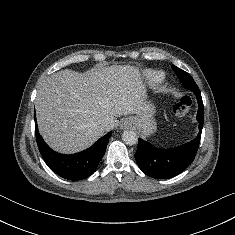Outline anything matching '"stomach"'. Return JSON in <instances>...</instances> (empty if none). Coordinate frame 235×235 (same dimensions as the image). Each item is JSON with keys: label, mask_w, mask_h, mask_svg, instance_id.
<instances>
[{"label": "stomach", "mask_w": 235, "mask_h": 235, "mask_svg": "<svg viewBox=\"0 0 235 235\" xmlns=\"http://www.w3.org/2000/svg\"><path fill=\"white\" fill-rule=\"evenodd\" d=\"M155 106L150 102H145L141 112L136 116H131L128 119L132 120L133 125L144 135L150 136L157 129L155 121Z\"/></svg>", "instance_id": "1"}]
</instances>
